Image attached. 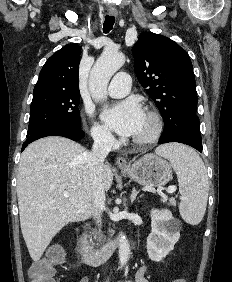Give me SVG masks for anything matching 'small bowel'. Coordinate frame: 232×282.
Returning a JSON list of instances; mask_svg holds the SVG:
<instances>
[{
  "label": "small bowel",
  "mask_w": 232,
  "mask_h": 282,
  "mask_svg": "<svg viewBox=\"0 0 232 282\" xmlns=\"http://www.w3.org/2000/svg\"><path fill=\"white\" fill-rule=\"evenodd\" d=\"M146 270L145 266L140 267L135 274L134 280H126L125 282H149L146 278ZM80 282H89V279L88 277H83Z\"/></svg>",
  "instance_id": "small-bowel-1"
}]
</instances>
